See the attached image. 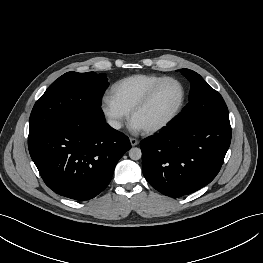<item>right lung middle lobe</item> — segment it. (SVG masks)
<instances>
[{"mask_svg": "<svg viewBox=\"0 0 263 263\" xmlns=\"http://www.w3.org/2000/svg\"><path fill=\"white\" fill-rule=\"evenodd\" d=\"M107 87L104 73H65L48 87L34 105L29 121V137L60 122L100 115L101 98Z\"/></svg>", "mask_w": 263, "mask_h": 263, "instance_id": "1", "label": "right lung middle lobe"}]
</instances>
